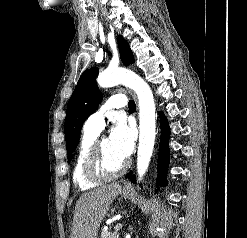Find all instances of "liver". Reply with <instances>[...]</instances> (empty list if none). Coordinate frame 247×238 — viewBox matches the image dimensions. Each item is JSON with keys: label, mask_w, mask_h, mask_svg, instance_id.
<instances>
[{"label": "liver", "mask_w": 247, "mask_h": 238, "mask_svg": "<svg viewBox=\"0 0 247 238\" xmlns=\"http://www.w3.org/2000/svg\"><path fill=\"white\" fill-rule=\"evenodd\" d=\"M121 189L120 184L111 183L83 194L75 206L71 238H97L100 224Z\"/></svg>", "instance_id": "obj_1"}]
</instances>
